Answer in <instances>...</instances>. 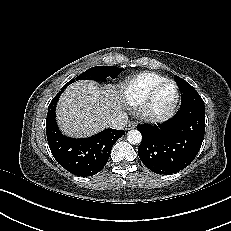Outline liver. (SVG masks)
Masks as SVG:
<instances>
[{
	"label": "liver",
	"instance_id": "obj_1",
	"mask_svg": "<svg viewBox=\"0 0 231 231\" xmlns=\"http://www.w3.org/2000/svg\"><path fill=\"white\" fill-rule=\"evenodd\" d=\"M122 111L119 91L82 80L69 85L57 104V123L68 136L86 137L105 129L109 117Z\"/></svg>",
	"mask_w": 231,
	"mask_h": 231
}]
</instances>
